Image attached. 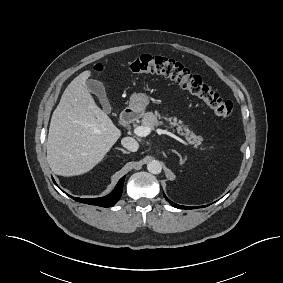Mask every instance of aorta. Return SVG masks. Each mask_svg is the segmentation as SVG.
<instances>
[{"mask_svg": "<svg viewBox=\"0 0 283 283\" xmlns=\"http://www.w3.org/2000/svg\"><path fill=\"white\" fill-rule=\"evenodd\" d=\"M147 169L152 174H159L162 171V166L159 161L153 160L147 165Z\"/></svg>", "mask_w": 283, "mask_h": 283, "instance_id": "aorta-1", "label": "aorta"}]
</instances>
